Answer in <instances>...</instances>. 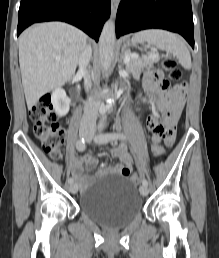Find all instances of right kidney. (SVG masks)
Returning a JSON list of instances; mask_svg holds the SVG:
<instances>
[{
  "label": "right kidney",
  "instance_id": "right-kidney-1",
  "mask_svg": "<svg viewBox=\"0 0 219 258\" xmlns=\"http://www.w3.org/2000/svg\"><path fill=\"white\" fill-rule=\"evenodd\" d=\"M61 85L56 87L51 94V103L57 115L65 116L69 112L71 100L67 97Z\"/></svg>",
  "mask_w": 219,
  "mask_h": 258
}]
</instances>
